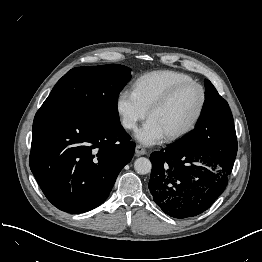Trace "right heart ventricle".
Returning a JSON list of instances; mask_svg holds the SVG:
<instances>
[{"instance_id": "right-heart-ventricle-1", "label": "right heart ventricle", "mask_w": 262, "mask_h": 262, "mask_svg": "<svg viewBox=\"0 0 262 262\" xmlns=\"http://www.w3.org/2000/svg\"><path fill=\"white\" fill-rule=\"evenodd\" d=\"M189 80L191 77L181 72L153 71L138 78L133 85L132 92L139 103L148 111L172 87Z\"/></svg>"}]
</instances>
